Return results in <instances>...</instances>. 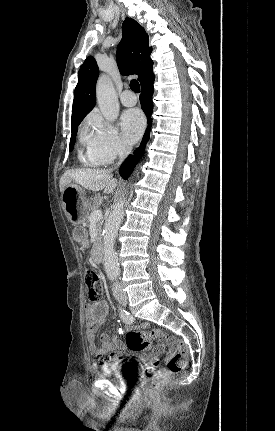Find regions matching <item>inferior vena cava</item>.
<instances>
[{"mask_svg":"<svg viewBox=\"0 0 275 431\" xmlns=\"http://www.w3.org/2000/svg\"><path fill=\"white\" fill-rule=\"evenodd\" d=\"M131 152V147L122 145L120 152H119V162L118 166L123 162V160L127 157V155ZM120 289V284L118 282H115L113 284L112 290L118 291Z\"/></svg>","mask_w":275,"mask_h":431,"instance_id":"obj_1","label":"inferior vena cava"}]
</instances>
